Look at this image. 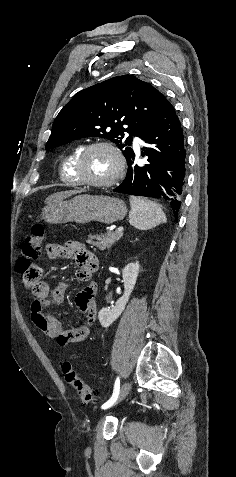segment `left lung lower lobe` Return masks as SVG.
I'll return each mask as SVG.
<instances>
[{
  "label": "left lung lower lobe",
  "mask_w": 236,
  "mask_h": 477,
  "mask_svg": "<svg viewBox=\"0 0 236 477\" xmlns=\"http://www.w3.org/2000/svg\"><path fill=\"white\" fill-rule=\"evenodd\" d=\"M147 143L142 156L148 164L135 163V153L127 160L125 180L115 192L160 198L172 208L177 221L186 175V149L180 121L173 105L162 95L157 116L142 136Z\"/></svg>",
  "instance_id": "left-lung-lower-lobe-1"
}]
</instances>
